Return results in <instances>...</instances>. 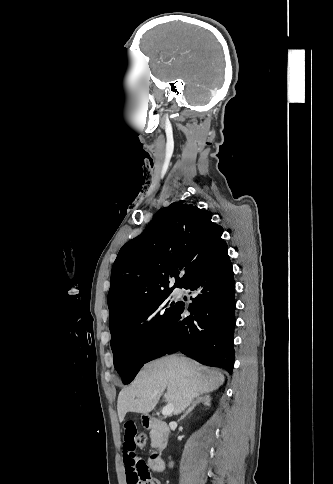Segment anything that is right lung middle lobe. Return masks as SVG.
Wrapping results in <instances>:
<instances>
[{
    "mask_svg": "<svg viewBox=\"0 0 333 484\" xmlns=\"http://www.w3.org/2000/svg\"><path fill=\"white\" fill-rule=\"evenodd\" d=\"M179 306L167 293L109 326L114 366L124 384L130 383L147 362L155 345L170 328Z\"/></svg>",
    "mask_w": 333,
    "mask_h": 484,
    "instance_id": "right-lung-middle-lobe-1",
    "label": "right lung middle lobe"
}]
</instances>
